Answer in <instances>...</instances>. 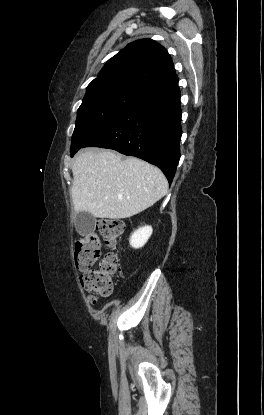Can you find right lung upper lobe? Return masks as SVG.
<instances>
[{"instance_id": "right-lung-upper-lobe-1", "label": "right lung upper lobe", "mask_w": 264, "mask_h": 415, "mask_svg": "<svg viewBox=\"0 0 264 415\" xmlns=\"http://www.w3.org/2000/svg\"><path fill=\"white\" fill-rule=\"evenodd\" d=\"M178 85L167 50L151 39L128 44L102 68L85 96L123 92L145 99Z\"/></svg>"}]
</instances>
